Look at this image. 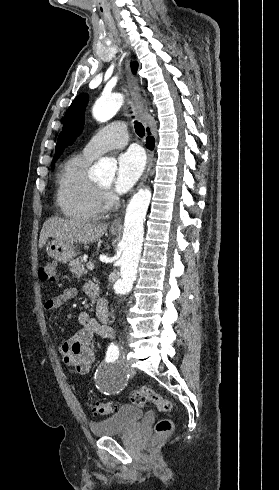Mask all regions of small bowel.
Listing matches in <instances>:
<instances>
[{"label":"small bowel","mask_w":279,"mask_h":490,"mask_svg":"<svg viewBox=\"0 0 279 490\" xmlns=\"http://www.w3.org/2000/svg\"><path fill=\"white\" fill-rule=\"evenodd\" d=\"M84 290L89 296L97 295L99 292L98 287L94 284L86 285ZM77 294L78 291L75 288H67L59 295L48 299L45 303V309L57 310L76 298ZM96 315L100 322L86 311L79 312L77 321L80 329L70 340H61L60 342L59 351L62 362L74 375H84L90 371L96 355L95 338L110 339L115 334L105 299L98 301Z\"/></svg>","instance_id":"obj_1"}]
</instances>
